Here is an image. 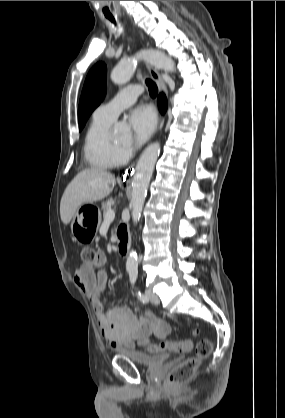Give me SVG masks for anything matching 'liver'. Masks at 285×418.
Wrapping results in <instances>:
<instances>
[{"label":"liver","instance_id":"obj_1","mask_svg":"<svg viewBox=\"0 0 285 418\" xmlns=\"http://www.w3.org/2000/svg\"><path fill=\"white\" fill-rule=\"evenodd\" d=\"M115 177L100 168H88L79 172L66 187L60 202V216L67 225L77 209L84 203H93L107 197Z\"/></svg>","mask_w":285,"mask_h":418}]
</instances>
